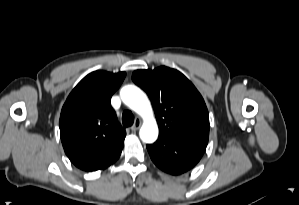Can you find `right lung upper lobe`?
<instances>
[{"label": "right lung upper lobe", "instance_id": "1", "mask_svg": "<svg viewBox=\"0 0 299 205\" xmlns=\"http://www.w3.org/2000/svg\"><path fill=\"white\" fill-rule=\"evenodd\" d=\"M125 72L95 71L68 96L60 115V137L70 161L83 171L105 169L120 156L125 130L110 100Z\"/></svg>", "mask_w": 299, "mask_h": 205}]
</instances>
